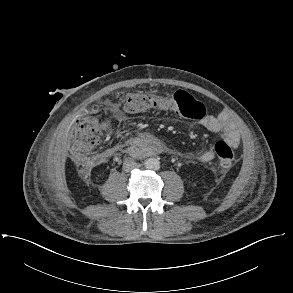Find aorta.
<instances>
[{
    "mask_svg": "<svg viewBox=\"0 0 293 293\" xmlns=\"http://www.w3.org/2000/svg\"><path fill=\"white\" fill-rule=\"evenodd\" d=\"M145 167L147 169H151V170H157L160 168V162L158 159L156 158H149L145 161L144 163Z\"/></svg>",
    "mask_w": 293,
    "mask_h": 293,
    "instance_id": "obj_1",
    "label": "aorta"
}]
</instances>
